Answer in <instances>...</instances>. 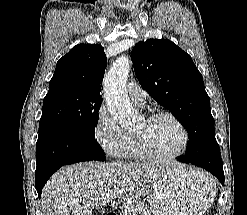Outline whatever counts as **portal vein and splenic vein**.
I'll return each mask as SVG.
<instances>
[{"instance_id":"1","label":"portal vein and splenic vein","mask_w":247,"mask_h":215,"mask_svg":"<svg viewBox=\"0 0 247 215\" xmlns=\"http://www.w3.org/2000/svg\"><path fill=\"white\" fill-rule=\"evenodd\" d=\"M113 195H114V192H112V191L107 192V194H106V196H107L106 199L109 200L110 198L113 197Z\"/></svg>"}]
</instances>
